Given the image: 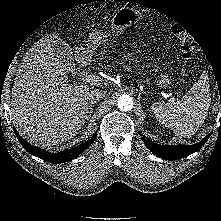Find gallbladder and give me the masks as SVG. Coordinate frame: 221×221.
Returning <instances> with one entry per match:
<instances>
[{
  "instance_id": "gallbladder-1",
  "label": "gallbladder",
  "mask_w": 221,
  "mask_h": 221,
  "mask_svg": "<svg viewBox=\"0 0 221 221\" xmlns=\"http://www.w3.org/2000/svg\"><path fill=\"white\" fill-rule=\"evenodd\" d=\"M52 47L57 59L63 65L67 72H73L75 69L73 50L65 41L60 38L52 40Z\"/></svg>"
}]
</instances>
